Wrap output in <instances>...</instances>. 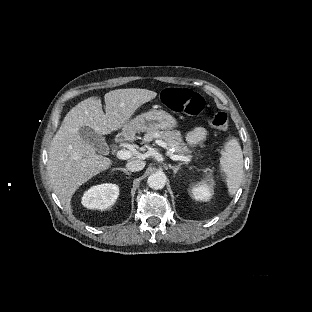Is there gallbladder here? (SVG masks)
Wrapping results in <instances>:
<instances>
[{"label": "gallbladder", "instance_id": "bac80fb5", "mask_svg": "<svg viewBox=\"0 0 312 312\" xmlns=\"http://www.w3.org/2000/svg\"><path fill=\"white\" fill-rule=\"evenodd\" d=\"M80 137L86 143L90 144L97 152L107 155L109 154V147L101 134L88 126L81 127L78 131Z\"/></svg>", "mask_w": 312, "mask_h": 312}]
</instances>
